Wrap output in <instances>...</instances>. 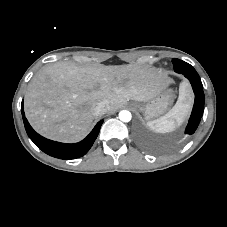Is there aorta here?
I'll list each match as a JSON object with an SVG mask.
<instances>
[{
    "mask_svg": "<svg viewBox=\"0 0 227 227\" xmlns=\"http://www.w3.org/2000/svg\"><path fill=\"white\" fill-rule=\"evenodd\" d=\"M132 118L131 113L128 110H122L119 112V119L123 122H129Z\"/></svg>",
    "mask_w": 227,
    "mask_h": 227,
    "instance_id": "obj_1",
    "label": "aorta"
}]
</instances>
